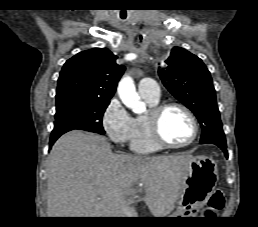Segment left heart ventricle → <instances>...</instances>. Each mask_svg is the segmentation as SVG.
I'll return each instance as SVG.
<instances>
[{
  "label": "left heart ventricle",
  "instance_id": "1",
  "mask_svg": "<svg viewBox=\"0 0 258 227\" xmlns=\"http://www.w3.org/2000/svg\"><path fill=\"white\" fill-rule=\"evenodd\" d=\"M161 131L166 140L183 143L191 138L193 127L185 112L178 108H170L162 116Z\"/></svg>",
  "mask_w": 258,
  "mask_h": 227
}]
</instances>
